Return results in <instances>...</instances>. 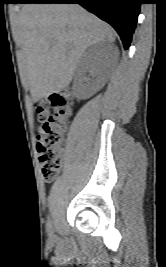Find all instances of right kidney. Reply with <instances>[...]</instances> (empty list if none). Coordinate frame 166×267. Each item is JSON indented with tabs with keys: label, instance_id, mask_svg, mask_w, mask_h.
I'll list each match as a JSON object with an SVG mask.
<instances>
[{
	"label": "right kidney",
	"instance_id": "1",
	"mask_svg": "<svg viewBox=\"0 0 166 267\" xmlns=\"http://www.w3.org/2000/svg\"><path fill=\"white\" fill-rule=\"evenodd\" d=\"M106 49L103 44L98 43L90 47L81 60V70L76 76L75 89L81 98H89L99 89L98 79H90L86 76V71L93 67V71L100 75L103 71Z\"/></svg>",
	"mask_w": 166,
	"mask_h": 267
}]
</instances>
